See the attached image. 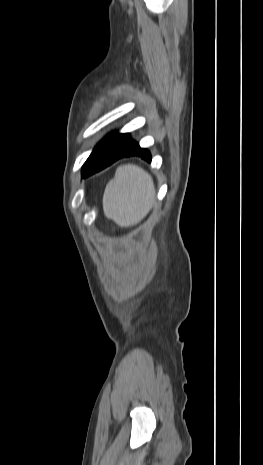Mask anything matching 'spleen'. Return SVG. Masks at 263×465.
Returning <instances> with one entry per match:
<instances>
[{
    "label": "spleen",
    "instance_id": "1",
    "mask_svg": "<svg viewBox=\"0 0 263 465\" xmlns=\"http://www.w3.org/2000/svg\"><path fill=\"white\" fill-rule=\"evenodd\" d=\"M154 195L150 175L135 165L120 166L114 179L106 185L103 195L104 214L121 227L135 225L149 212Z\"/></svg>",
    "mask_w": 263,
    "mask_h": 465
}]
</instances>
